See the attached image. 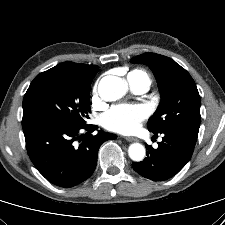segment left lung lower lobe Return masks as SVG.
Returning <instances> with one entry per match:
<instances>
[{"mask_svg": "<svg viewBox=\"0 0 225 225\" xmlns=\"http://www.w3.org/2000/svg\"><path fill=\"white\" fill-rule=\"evenodd\" d=\"M159 134L163 135V141L158 142V148L147 145V157L132 163L138 174L153 181L167 180L176 175L190 160L198 137L175 129H166Z\"/></svg>", "mask_w": 225, "mask_h": 225, "instance_id": "0a47b994", "label": "left lung lower lobe"}]
</instances>
